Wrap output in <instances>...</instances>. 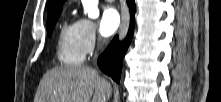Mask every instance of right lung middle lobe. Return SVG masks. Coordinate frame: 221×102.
I'll use <instances>...</instances> for the list:
<instances>
[{"label":"right lung middle lobe","mask_w":221,"mask_h":102,"mask_svg":"<svg viewBox=\"0 0 221 102\" xmlns=\"http://www.w3.org/2000/svg\"><path fill=\"white\" fill-rule=\"evenodd\" d=\"M61 11H62V9L55 12L52 16L48 17L46 27H47V33L49 36L52 34V30L55 26L57 19L59 18L60 14H61Z\"/></svg>","instance_id":"right-lung-middle-lobe-1"}]
</instances>
